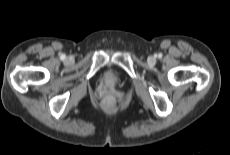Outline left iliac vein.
<instances>
[{
    "mask_svg": "<svg viewBox=\"0 0 230 155\" xmlns=\"http://www.w3.org/2000/svg\"><path fill=\"white\" fill-rule=\"evenodd\" d=\"M148 62L149 63H155L156 62V58L154 56H149L148 57Z\"/></svg>",
    "mask_w": 230,
    "mask_h": 155,
    "instance_id": "obj_1",
    "label": "left iliac vein"
}]
</instances>
